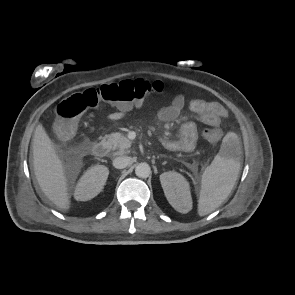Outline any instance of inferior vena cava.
<instances>
[{
	"label": "inferior vena cava",
	"instance_id": "602c4592",
	"mask_svg": "<svg viewBox=\"0 0 295 295\" xmlns=\"http://www.w3.org/2000/svg\"><path fill=\"white\" fill-rule=\"evenodd\" d=\"M131 161V158L128 156H119L113 160V166L117 169L125 168Z\"/></svg>",
	"mask_w": 295,
	"mask_h": 295
}]
</instances>
